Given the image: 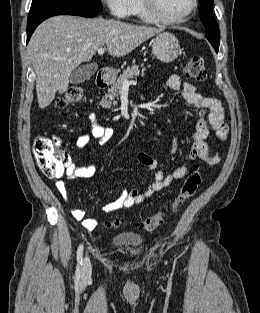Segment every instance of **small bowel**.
I'll use <instances>...</instances> for the list:
<instances>
[{
    "label": "small bowel",
    "instance_id": "obj_1",
    "mask_svg": "<svg viewBox=\"0 0 260 313\" xmlns=\"http://www.w3.org/2000/svg\"><path fill=\"white\" fill-rule=\"evenodd\" d=\"M166 84L169 88L175 91H180L183 99L187 104L198 111V121L196 124V130L191 134V147L188 154L189 160L199 158L206 162L215 163L219 161V155H211L208 147L205 143V139L208 137L210 130H212L216 136L224 141L228 135V126L224 121V108L219 99L214 97L202 96L197 93L196 87L182 79L178 75H171L168 77ZM88 124L91 128V133L95 140L99 144H105L110 140L114 134V130L110 126H103L95 113H90L87 117ZM89 142V135L82 133L76 140V147L83 149ZM177 141H174L172 150L176 147ZM69 158V164L66 169L68 178L87 179L94 176L97 172V166L90 164L87 166H81ZM138 163L146 168L153 170L154 174L152 181L147 189L140 192L137 188L125 190L118 198L108 202L103 206L104 212H112L122 208H129L135 204L142 203L146 199L153 196L156 192L169 187L174 181L185 177L188 168L187 166H178L169 175H164L163 172L157 170L156 160L146 152H138L135 155ZM56 188L61 197L69 202V195L62 180L56 182ZM72 217L80 221L84 228L87 230H94L97 227V221L91 218H86V212L82 209L72 207Z\"/></svg>",
    "mask_w": 260,
    "mask_h": 313
}]
</instances>
